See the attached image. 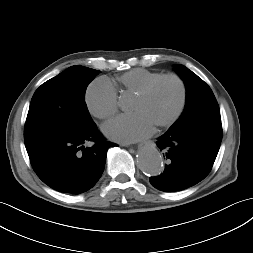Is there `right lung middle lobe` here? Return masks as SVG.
<instances>
[{
	"label": "right lung middle lobe",
	"mask_w": 253,
	"mask_h": 253,
	"mask_svg": "<svg viewBox=\"0 0 253 253\" xmlns=\"http://www.w3.org/2000/svg\"><path fill=\"white\" fill-rule=\"evenodd\" d=\"M98 72L84 66H71L36 90L25 123L27 150L51 137L94 124L84 95Z\"/></svg>",
	"instance_id": "1"
}]
</instances>
